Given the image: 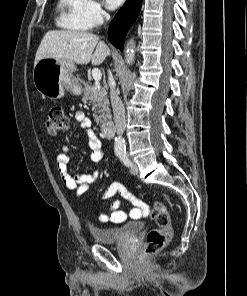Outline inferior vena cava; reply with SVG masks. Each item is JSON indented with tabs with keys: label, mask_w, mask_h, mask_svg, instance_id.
Wrapping results in <instances>:
<instances>
[{
	"label": "inferior vena cava",
	"mask_w": 247,
	"mask_h": 296,
	"mask_svg": "<svg viewBox=\"0 0 247 296\" xmlns=\"http://www.w3.org/2000/svg\"><path fill=\"white\" fill-rule=\"evenodd\" d=\"M103 15L106 19L109 18V15L107 13L103 12ZM108 76H109V87H110V99H111V105H112L113 114H114L115 127L117 130V134L121 135L124 133V130L126 127L125 108L118 93L116 92V89H115L116 84L110 70H108Z\"/></svg>",
	"instance_id": "inferior-vena-cava-1"
}]
</instances>
